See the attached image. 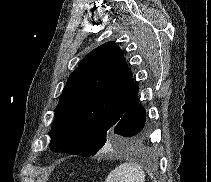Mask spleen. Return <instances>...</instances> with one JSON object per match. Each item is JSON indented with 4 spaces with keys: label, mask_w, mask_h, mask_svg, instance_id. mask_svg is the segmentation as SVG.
I'll list each match as a JSON object with an SVG mask.
<instances>
[{
    "label": "spleen",
    "mask_w": 211,
    "mask_h": 182,
    "mask_svg": "<svg viewBox=\"0 0 211 182\" xmlns=\"http://www.w3.org/2000/svg\"><path fill=\"white\" fill-rule=\"evenodd\" d=\"M105 182H145V173L134 163H123L116 167Z\"/></svg>",
    "instance_id": "obj_1"
}]
</instances>
